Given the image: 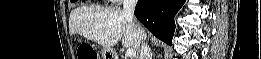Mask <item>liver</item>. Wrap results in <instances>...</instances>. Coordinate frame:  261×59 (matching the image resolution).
Wrapping results in <instances>:
<instances>
[{
	"instance_id": "liver-1",
	"label": "liver",
	"mask_w": 261,
	"mask_h": 59,
	"mask_svg": "<svg viewBox=\"0 0 261 59\" xmlns=\"http://www.w3.org/2000/svg\"><path fill=\"white\" fill-rule=\"evenodd\" d=\"M69 33L80 34L105 48H111L120 40L122 46L137 50L144 30L128 21L121 9L112 7H81L69 17Z\"/></svg>"
}]
</instances>
